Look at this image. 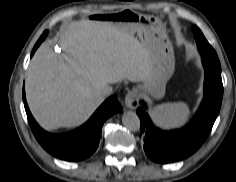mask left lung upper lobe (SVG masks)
I'll list each match as a JSON object with an SVG mask.
<instances>
[{
    "label": "left lung upper lobe",
    "mask_w": 236,
    "mask_h": 182,
    "mask_svg": "<svg viewBox=\"0 0 236 182\" xmlns=\"http://www.w3.org/2000/svg\"><path fill=\"white\" fill-rule=\"evenodd\" d=\"M193 35L196 40L198 50L201 53L204 67L216 72H221L220 62L215 50L207 42L201 30L195 25L193 26Z\"/></svg>",
    "instance_id": "5c2ea615"
}]
</instances>
